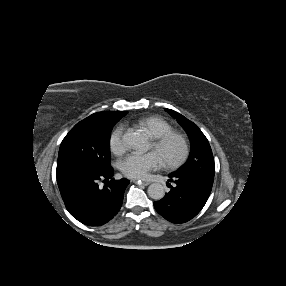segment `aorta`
<instances>
[{
  "mask_svg": "<svg viewBox=\"0 0 286 286\" xmlns=\"http://www.w3.org/2000/svg\"><path fill=\"white\" fill-rule=\"evenodd\" d=\"M123 141L134 148L145 149L147 138L137 132H128L123 136ZM148 195L154 200H160L165 196V187L153 183L148 187Z\"/></svg>",
  "mask_w": 286,
  "mask_h": 286,
  "instance_id": "obj_1",
  "label": "aorta"
}]
</instances>
